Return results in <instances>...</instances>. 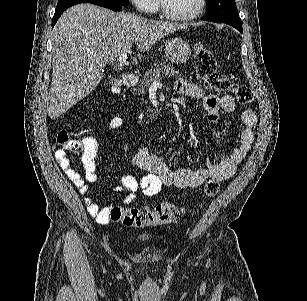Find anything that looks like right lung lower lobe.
<instances>
[{
	"label": "right lung lower lobe",
	"mask_w": 307,
	"mask_h": 301,
	"mask_svg": "<svg viewBox=\"0 0 307 301\" xmlns=\"http://www.w3.org/2000/svg\"><path fill=\"white\" fill-rule=\"evenodd\" d=\"M85 3H91V4H95V5H99L102 7H106L109 8L113 11H120L122 10V6L117 4V3H109V2H101L99 0H91L89 2H85ZM75 5V4H74ZM73 5L70 6H66V7H62V8H58L55 10L53 19H52V27L55 25V23L57 22V20L59 19V17L61 16V14L69 7H71Z\"/></svg>",
	"instance_id": "1"
}]
</instances>
